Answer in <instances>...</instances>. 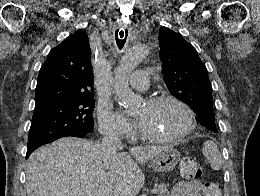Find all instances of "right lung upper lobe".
<instances>
[{
    "instance_id": "1",
    "label": "right lung upper lobe",
    "mask_w": 260,
    "mask_h": 196,
    "mask_svg": "<svg viewBox=\"0 0 260 196\" xmlns=\"http://www.w3.org/2000/svg\"><path fill=\"white\" fill-rule=\"evenodd\" d=\"M90 56L89 40L82 30L53 48L39 72L35 106L59 96L94 93Z\"/></svg>"
}]
</instances>
